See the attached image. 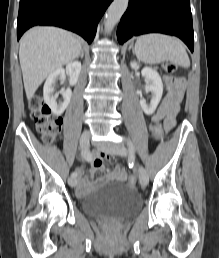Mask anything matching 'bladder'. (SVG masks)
<instances>
[{
    "mask_svg": "<svg viewBox=\"0 0 219 258\" xmlns=\"http://www.w3.org/2000/svg\"><path fill=\"white\" fill-rule=\"evenodd\" d=\"M81 210L94 217L127 219L142 208V198L124 184L104 185L79 200Z\"/></svg>",
    "mask_w": 219,
    "mask_h": 258,
    "instance_id": "bladder-1",
    "label": "bladder"
}]
</instances>
